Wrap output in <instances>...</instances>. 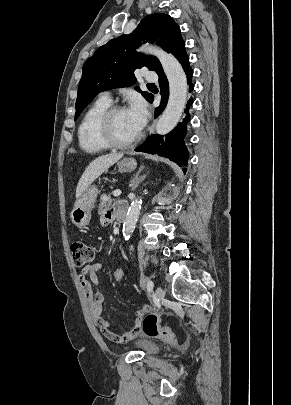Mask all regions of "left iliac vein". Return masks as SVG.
<instances>
[{"label": "left iliac vein", "mask_w": 291, "mask_h": 405, "mask_svg": "<svg viewBox=\"0 0 291 405\" xmlns=\"http://www.w3.org/2000/svg\"><path fill=\"white\" fill-rule=\"evenodd\" d=\"M164 290L161 287H157L155 290V296L158 300H161L164 297Z\"/></svg>", "instance_id": "1"}]
</instances>
